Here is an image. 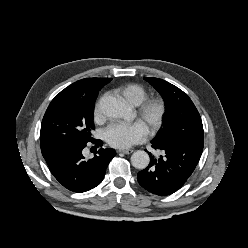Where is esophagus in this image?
Returning <instances> with one entry per match:
<instances>
[{
  "label": "esophagus",
  "mask_w": 248,
  "mask_h": 248,
  "mask_svg": "<svg viewBox=\"0 0 248 248\" xmlns=\"http://www.w3.org/2000/svg\"><path fill=\"white\" fill-rule=\"evenodd\" d=\"M118 152L123 153V154H131L133 153L132 149H120Z\"/></svg>",
  "instance_id": "34e87169"
}]
</instances>
